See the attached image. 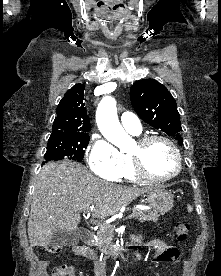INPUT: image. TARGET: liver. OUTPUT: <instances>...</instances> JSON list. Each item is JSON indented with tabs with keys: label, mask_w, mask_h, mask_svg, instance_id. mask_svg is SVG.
Here are the masks:
<instances>
[{
	"label": "liver",
	"mask_w": 221,
	"mask_h": 276,
	"mask_svg": "<svg viewBox=\"0 0 221 276\" xmlns=\"http://www.w3.org/2000/svg\"><path fill=\"white\" fill-rule=\"evenodd\" d=\"M150 190L98 179L77 162L49 163L43 166L35 183L28 218L30 245L47 246L57 229L74 232L81 213L92 204V216L103 220Z\"/></svg>",
	"instance_id": "1"
}]
</instances>
